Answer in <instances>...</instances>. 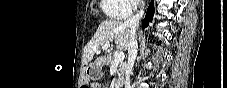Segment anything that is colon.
Returning a JSON list of instances; mask_svg holds the SVG:
<instances>
[{"instance_id":"colon-1","label":"colon","mask_w":227,"mask_h":88,"mask_svg":"<svg viewBox=\"0 0 227 88\" xmlns=\"http://www.w3.org/2000/svg\"><path fill=\"white\" fill-rule=\"evenodd\" d=\"M82 87L83 88H88V85L87 84H84Z\"/></svg>"}]
</instances>
